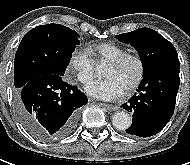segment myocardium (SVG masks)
<instances>
[{"label": "myocardium", "instance_id": "obj_1", "mask_svg": "<svg viewBox=\"0 0 190 165\" xmlns=\"http://www.w3.org/2000/svg\"><path fill=\"white\" fill-rule=\"evenodd\" d=\"M133 61L138 67V73L135 80L125 89L126 92L136 90L143 82L146 74V66L143 58L137 54L127 53L109 62L115 68H121L128 62Z\"/></svg>", "mask_w": 190, "mask_h": 165}]
</instances>
